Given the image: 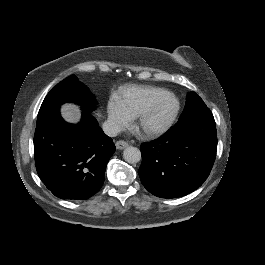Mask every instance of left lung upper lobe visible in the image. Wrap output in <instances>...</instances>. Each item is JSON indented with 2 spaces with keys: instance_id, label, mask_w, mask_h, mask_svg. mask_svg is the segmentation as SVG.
<instances>
[{
  "instance_id": "1",
  "label": "left lung upper lobe",
  "mask_w": 265,
  "mask_h": 265,
  "mask_svg": "<svg viewBox=\"0 0 265 265\" xmlns=\"http://www.w3.org/2000/svg\"><path fill=\"white\" fill-rule=\"evenodd\" d=\"M208 109L203 100L195 93H188L186 105L180 118H185L195 113Z\"/></svg>"
}]
</instances>
